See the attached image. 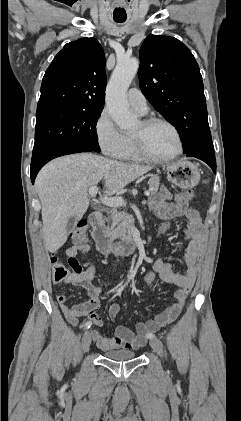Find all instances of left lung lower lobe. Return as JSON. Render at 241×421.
<instances>
[{"instance_id":"left-lung-lower-lobe-1","label":"left lung lower lobe","mask_w":241,"mask_h":421,"mask_svg":"<svg viewBox=\"0 0 241 421\" xmlns=\"http://www.w3.org/2000/svg\"><path fill=\"white\" fill-rule=\"evenodd\" d=\"M192 157H196L202 161H204L205 163H207L213 170V172H216V160H215V155H214V151H202L196 154H193Z\"/></svg>"}]
</instances>
